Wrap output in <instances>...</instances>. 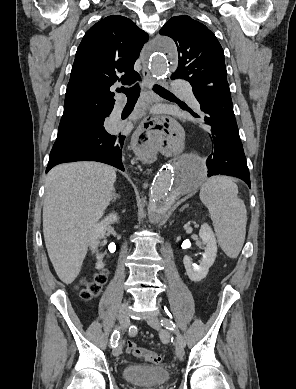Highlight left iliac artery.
<instances>
[{
  "label": "left iliac artery",
  "mask_w": 296,
  "mask_h": 389,
  "mask_svg": "<svg viewBox=\"0 0 296 389\" xmlns=\"http://www.w3.org/2000/svg\"><path fill=\"white\" fill-rule=\"evenodd\" d=\"M161 324L165 326L167 329L173 330L177 335L178 342H180L183 346H185V340L183 336L180 334L179 330H177L174 322H172L170 319H163L161 320Z\"/></svg>",
  "instance_id": "obj_1"
}]
</instances>
